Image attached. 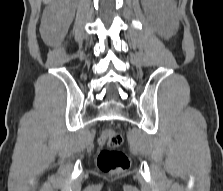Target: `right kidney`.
Here are the masks:
<instances>
[{
	"label": "right kidney",
	"instance_id": "right-kidney-1",
	"mask_svg": "<svg viewBox=\"0 0 223 191\" xmlns=\"http://www.w3.org/2000/svg\"><path fill=\"white\" fill-rule=\"evenodd\" d=\"M75 0H54L45 9L41 22V35L47 44H54L64 36L74 17Z\"/></svg>",
	"mask_w": 223,
	"mask_h": 191
}]
</instances>
